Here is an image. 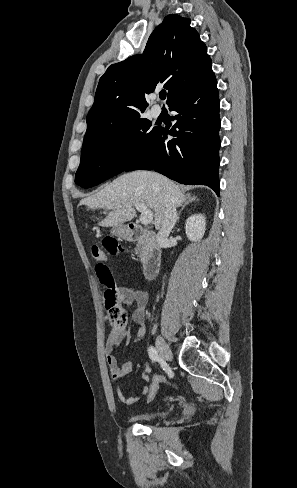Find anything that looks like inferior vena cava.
<instances>
[{"mask_svg":"<svg viewBox=\"0 0 297 488\" xmlns=\"http://www.w3.org/2000/svg\"><path fill=\"white\" fill-rule=\"evenodd\" d=\"M165 214L161 228L157 234V242L163 245L167 242L168 236L177 221V211L174 198L169 192L164 193Z\"/></svg>","mask_w":297,"mask_h":488,"instance_id":"inferior-vena-cava-1","label":"inferior vena cava"}]
</instances>
